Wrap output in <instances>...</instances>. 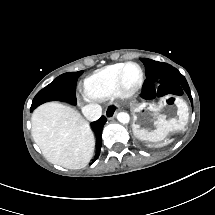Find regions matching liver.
<instances>
[{"label":"liver","mask_w":215,"mask_h":215,"mask_svg":"<svg viewBox=\"0 0 215 215\" xmlns=\"http://www.w3.org/2000/svg\"><path fill=\"white\" fill-rule=\"evenodd\" d=\"M31 135L45 158L67 169L85 167L95 151L90 122L64 101H48L33 110Z\"/></svg>","instance_id":"liver-1"}]
</instances>
